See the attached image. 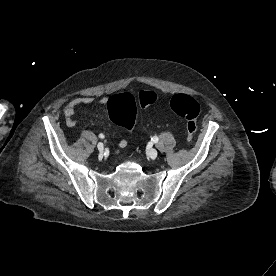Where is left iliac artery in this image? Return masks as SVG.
Segmentation results:
<instances>
[{
  "instance_id": "1",
  "label": "left iliac artery",
  "mask_w": 276,
  "mask_h": 276,
  "mask_svg": "<svg viewBox=\"0 0 276 276\" xmlns=\"http://www.w3.org/2000/svg\"><path fill=\"white\" fill-rule=\"evenodd\" d=\"M158 137L157 136H154L151 138V141L154 142V143H157L158 142Z\"/></svg>"
}]
</instances>
